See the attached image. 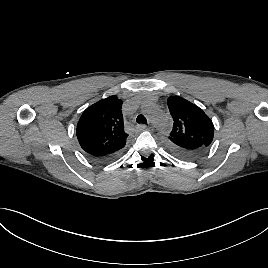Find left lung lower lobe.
Listing matches in <instances>:
<instances>
[{"mask_svg": "<svg viewBox=\"0 0 268 268\" xmlns=\"http://www.w3.org/2000/svg\"><path fill=\"white\" fill-rule=\"evenodd\" d=\"M167 149L171 154L183 160H196L202 157L208 150L207 147L198 142L180 144L179 142H170L166 140Z\"/></svg>", "mask_w": 268, "mask_h": 268, "instance_id": "1", "label": "left lung lower lobe"}]
</instances>
